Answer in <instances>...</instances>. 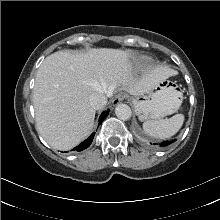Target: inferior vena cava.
I'll use <instances>...</instances> for the list:
<instances>
[{"instance_id":"1","label":"inferior vena cava","mask_w":220,"mask_h":220,"mask_svg":"<svg viewBox=\"0 0 220 220\" xmlns=\"http://www.w3.org/2000/svg\"><path fill=\"white\" fill-rule=\"evenodd\" d=\"M89 102L92 108H94L95 110H99L107 104V97L103 93H95L90 96Z\"/></svg>"}]
</instances>
